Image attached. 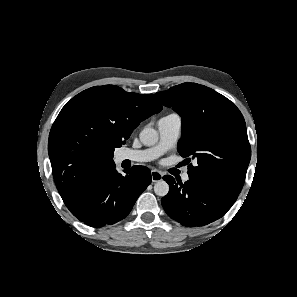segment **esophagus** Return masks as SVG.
<instances>
[{"mask_svg": "<svg viewBox=\"0 0 297 297\" xmlns=\"http://www.w3.org/2000/svg\"><path fill=\"white\" fill-rule=\"evenodd\" d=\"M151 178H152L153 182H158V181H161L163 179V175L157 170H152L151 171Z\"/></svg>", "mask_w": 297, "mask_h": 297, "instance_id": "1", "label": "esophagus"}]
</instances>
